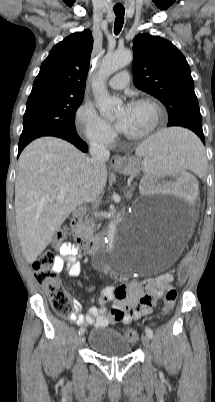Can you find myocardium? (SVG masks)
<instances>
[{
  "mask_svg": "<svg viewBox=\"0 0 215 402\" xmlns=\"http://www.w3.org/2000/svg\"><path fill=\"white\" fill-rule=\"evenodd\" d=\"M142 104H145V105H148L151 107V109L153 111L152 123L149 126V128L142 133L134 134V135L125 134V138L128 140L139 141V140L146 139L156 131V129L158 128V126L160 124V121H161V118L163 115V110H162V107L159 104V102L151 97H140V98L134 99L130 103V106L142 105Z\"/></svg>",
  "mask_w": 215,
  "mask_h": 402,
  "instance_id": "myocardium-1",
  "label": "myocardium"
}]
</instances>
